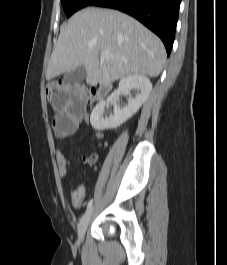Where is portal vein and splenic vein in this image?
Here are the masks:
<instances>
[{"instance_id":"portal-vein-and-splenic-vein-1","label":"portal vein and splenic vein","mask_w":227,"mask_h":265,"mask_svg":"<svg viewBox=\"0 0 227 265\" xmlns=\"http://www.w3.org/2000/svg\"><path fill=\"white\" fill-rule=\"evenodd\" d=\"M110 57H112V55L109 52L107 51L101 52V60H106V59H109Z\"/></svg>"}]
</instances>
